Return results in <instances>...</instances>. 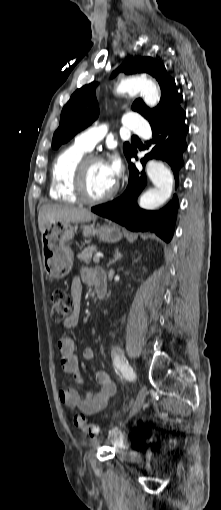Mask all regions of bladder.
<instances>
[{
  "label": "bladder",
  "instance_id": "obj_1",
  "mask_svg": "<svg viewBox=\"0 0 221 510\" xmlns=\"http://www.w3.org/2000/svg\"><path fill=\"white\" fill-rule=\"evenodd\" d=\"M132 444V440L130 438H123L120 442L115 445L117 450H127Z\"/></svg>",
  "mask_w": 221,
  "mask_h": 510
}]
</instances>
